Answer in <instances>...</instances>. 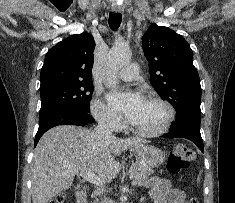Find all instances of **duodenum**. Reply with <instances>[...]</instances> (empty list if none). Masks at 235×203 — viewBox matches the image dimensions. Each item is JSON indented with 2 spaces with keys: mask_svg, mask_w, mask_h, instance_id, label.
Segmentation results:
<instances>
[{
  "mask_svg": "<svg viewBox=\"0 0 235 203\" xmlns=\"http://www.w3.org/2000/svg\"><path fill=\"white\" fill-rule=\"evenodd\" d=\"M77 203H88V196L86 192H79L77 194Z\"/></svg>",
  "mask_w": 235,
  "mask_h": 203,
  "instance_id": "410a0bca",
  "label": "duodenum"
}]
</instances>
